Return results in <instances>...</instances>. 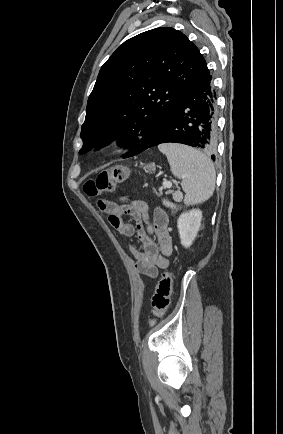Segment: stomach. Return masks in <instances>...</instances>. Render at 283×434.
I'll list each match as a JSON object with an SVG mask.
<instances>
[{"mask_svg": "<svg viewBox=\"0 0 283 434\" xmlns=\"http://www.w3.org/2000/svg\"><path fill=\"white\" fill-rule=\"evenodd\" d=\"M144 169H146V170H148L150 172L155 171V169H156L155 163H150V164L145 165Z\"/></svg>", "mask_w": 283, "mask_h": 434, "instance_id": "stomach-1", "label": "stomach"}]
</instances>
